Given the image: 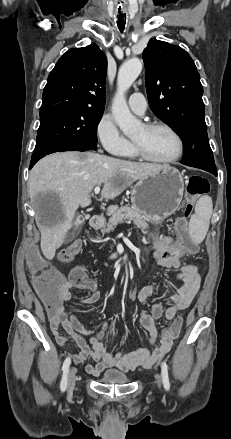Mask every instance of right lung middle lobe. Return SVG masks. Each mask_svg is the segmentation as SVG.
I'll return each mask as SVG.
<instances>
[{
  "instance_id": "1",
  "label": "right lung middle lobe",
  "mask_w": 231,
  "mask_h": 439,
  "mask_svg": "<svg viewBox=\"0 0 231 439\" xmlns=\"http://www.w3.org/2000/svg\"><path fill=\"white\" fill-rule=\"evenodd\" d=\"M104 110L71 109L40 118L34 152L65 147L97 149V125Z\"/></svg>"
}]
</instances>
